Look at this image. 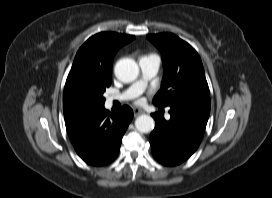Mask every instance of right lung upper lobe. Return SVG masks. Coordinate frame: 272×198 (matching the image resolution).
Here are the masks:
<instances>
[{
  "instance_id": "cb5924a9",
  "label": "right lung upper lobe",
  "mask_w": 272,
  "mask_h": 198,
  "mask_svg": "<svg viewBox=\"0 0 272 198\" xmlns=\"http://www.w3.org/2000/svg\"><path fill=\"white\" fill-rule=\"evenodd\" d=\"M135 37L101 32L90 37L78 50L66 80L63 95L65 123L97 109V90L111 83L116 52Z\"/></svg>"
}]
</instances>
